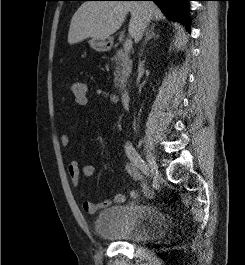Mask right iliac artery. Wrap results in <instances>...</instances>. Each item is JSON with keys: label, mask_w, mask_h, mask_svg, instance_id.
I'll return each instance as SVG.
<instances>
[{"label": "right iliac artery", "mask_w": 245, "mask_h": 265, "mask_svg": "<svg viewBox=\"0 0 245 265\" xmlns=\"http://www.w3.org/2000/svg\"><path fill=\"white\" fill-rule=\"evenodd\" d=\"M125 153L130 161L139 168L142 173L146 176H149V168L147 164L142 160L140 155L137 153L135 148L133 147L132 143L127 142L125 145Z\"/></svg>", "instance_id": "1"}]
</instances>
